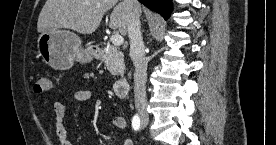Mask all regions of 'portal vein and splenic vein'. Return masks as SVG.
Wrapping results in <instances>:
<instances>
[{
    "label": "portal vein and splenic vein",
    "mask_w": 276,
    "mask_h": 145,
    "mask_svg": "<svg viewBox=\"0 0 276 145\" xmlns=\"http://www.w3.org/2000/svg\"><path fill=\"white\" fill-rule=\"evenodd\" d=\"M110 40L114 46H120L123 44L124 39L121 35L115 34L110 37Z\"/></svg>",
    "instance_id": "1"
}]
</instances>
